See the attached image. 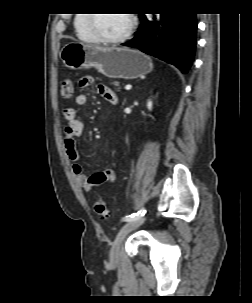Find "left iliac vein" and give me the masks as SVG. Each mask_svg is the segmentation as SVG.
Masks as SVG:
<instances>
[{
    "mask_svg": "<svg viewBox=\"0 0 252 303\" xmlns=\"http://www.w3.org/2000/svg\"><path fill=\"white\" fill-rule=\"evenodd\" d=\"M145 221V217L141 216L138 218H135L127 223H125L122 228L120 229L115 241L112 244V248L110 251V260L112 263H116L119 260L120 256V247L125 239V237L134 229L141 226Z\"/></svg>",
    "mask_w": 252,
    "mask_h": 303,
    "instance_id": "1",
    "label": "left iliac vein"
}]
</instances>
